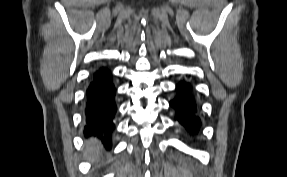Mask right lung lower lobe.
I'll list each match as a JSON object with an SVG mask.
<instances>
[{"mask_svg": "<svg viewBox=\"0 0 287 177\" xmlns=\"http://www.w3.org/2000/svg\"><path fill=\"white\" fill-rule=\"evenodd\" d=\"M115 94L110 71L105 67L96 70L86 90L84 133L99 137L107 147L112 144L115 129Z\"/></svg>", "mask_w": 287, "mask_h": 177, "instance_id": "98d812e1", "label": "right lung lower lobe"}]
</instances>
